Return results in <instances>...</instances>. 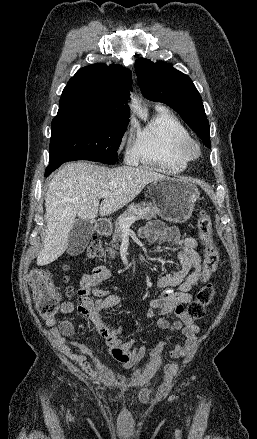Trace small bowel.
<instances>
[{
  "mask_svg": "<svg viewBox=\"0 0 257 439\" xmlns=\"http://www.w3.org/2000/svg\"><path fill=\"white\" fill-rule=\"evenodd\" d=\"M141 238L151 244L162 243L175 248L174 253L180 263V269L161 276L157 286L162 289L160 295L151 300L146 311V317L159 315L158 326L171 332H181L183 338L170 351V357L178 360L194 346L198 326L195 322L189 321L185 315V305L190 302L191 289L202 282V260L197 252L198 241L195 237L181 236L175 226H168L161 221H151L139 230ZM111 274L108 268L99 265L91 272L86 273L81 279V290L87 294L97 297V300L90 306L85 307L79 304L80 313L88 316L94 323L97 331L103 339L102 346L90 347L79 341L71 339L75 333V325L71 320L65 319L58 322V316L48 317L46 324L52 327L51 331L56 337L63 351L73 361L80 365L82 370L91 377L96 375L89 360H92L97 367L102 368L101 353L107 352L126 370L135 371L143 360L146 348L143 344L137 343L134 339L123 340L121 326H110L103 318L102 311L115 308L120 305L121 298L116 295H109L99 285L108 280ZM60 314H69L74 311L75 306L70 301L61 300L58 296ZM173 314L178 320H169L168 315ZM166 346L165 341H160L149 353L144 364L149 373L155 372L162 363V356ZM175 366L169 364L165 369V380L171 379Z\"/></svg>",
  "mask_w": 257,
  "mask_h": 439,
  "instance_id": "1",
  "label": "small bowel"
}]
</instances>
